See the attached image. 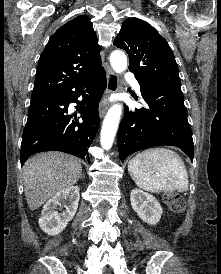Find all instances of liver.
<instances>
[{"label": "liver", "mask_w": 221, "mask_h": 274, "mask_svg": "<svg viewBox=\"0 0 221 274\" xmlns=\"http://www.w3.org/2000/svg\"><path fill=\"white\" fill-rule=\"evenodd\" d=\"M80 161L61 152H45L28 159L23 167L24 193L30 210L41 207L61 190L80 179Z\"/></svg>", "instance_id": "6515ba94"}]
</instances>
